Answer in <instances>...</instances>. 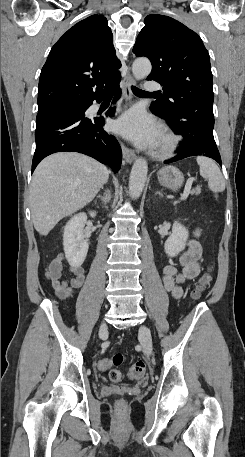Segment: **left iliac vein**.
Returning a JSON list of instances; mask_svg holds the SVG:
<instances>
[{
    "label": "left iliac vein",
    "instance_id": "left-iliac-vein-1",
    "mask_svg": "<svg viewBox=\"0 0 245 457\" xmlns=\"http://www.w3.org/2000/svg\"><path fill=\"white\" fill-rule=\"evenodd\" d=\"M140 334V342L143 345L144 352L146 356H149L152 350L150 330L143 325L140 328Z\"/></svg>",
    "mask_w": 245,
    "mask_h": 457
}]
</instances>
